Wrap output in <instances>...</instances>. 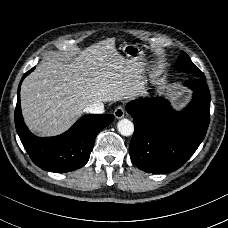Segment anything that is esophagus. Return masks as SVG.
<instances>
[{
  "label": "esophagus",
  "instance_id": "1",
  "mask_svg": "<svg viewBox=\"0 0 228 228\" xmlns=\"http://www.w3.org/2000/svg\"><path fill=\"white\" fill-rule=\"evenodd\" d=\"M114 116L116 119H121L124 117V107L118 106L114 111Z\"/></svg>",
  "mask_w": 228,
  "mask_h": 228
}]
</instances>
